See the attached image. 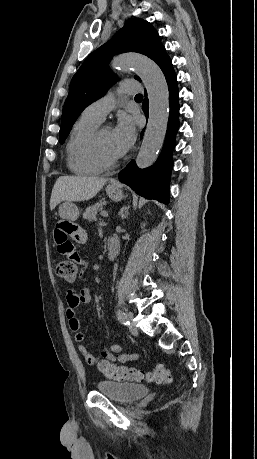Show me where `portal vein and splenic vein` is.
<instances>
[{"instance_id":"obj_1","label":"portal vein and splenic vein","mask_w":257,"mask_h":459,"mask_svg":"<svg viewBox=\"0 0 257 459\" xmlns=\"http://www.w3.org/2000/svg\"><path fill=\"white\" fill-rule=\"evenodd\" d=\"M101 215H102L103 217H105V218L108 217V213H107V212H102Z\"/></svg>"}]
</instances>
